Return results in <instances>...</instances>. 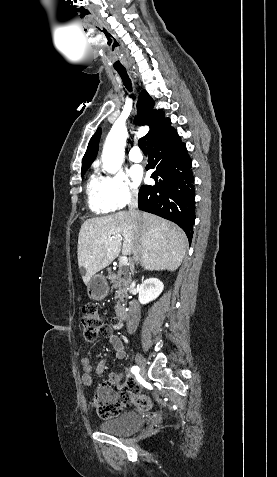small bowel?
I'll list each match as a JSON object with an SVG mask.
<instances>
[{"label": "small bowel", "mask_w": 277, "mask_h": 477, "mask_svg": "<svg viewBox=\"0 0 277 477\" xmlns=\"http://www.w3.org/2000/svg\"><path fill=\"white\" fill-rule=\"evenodd\" d=\"M122 327V323L118 319H112L111 325H103V329L101 334L105 336L114 350V355L117 359H123L125 357V348L124 344L113 331V329H120ZM108 364V360L104 359L100 361L96 367V373L101 374L105 370ZM81 365L83 369L82 374V383L90 387L93 384L94 377H93V366L91 360L88 357H83L81 359ZM126 376L124 373H112L109 376V379L117 384ZM127 382H133L139 389V385L136 381L129 378Z\"/></svg>", "instance_id": "small-bowel-1"}]
</instances>
